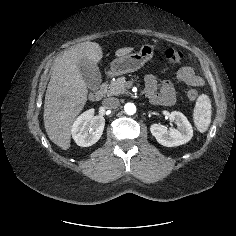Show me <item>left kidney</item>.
<instances>
[{
    "label": "left kidney",
    "instance_id": "1",
    "mask_svg": "<svg viewBox=\"0 0 236 236\" xmlns=\"http://www.w3.org/2000/svg\"><path fill=\"white\" fill-rule=\"evenodd\" d=\"M169 119L177 124V129H167L161 124H152L150 131L157 142L166 147H174L189 142L193 136V129L188 119L178 111H173Z\"/></svg>",
    "mask_w": 236,
    "mask_h": 236
}]
</instances>
